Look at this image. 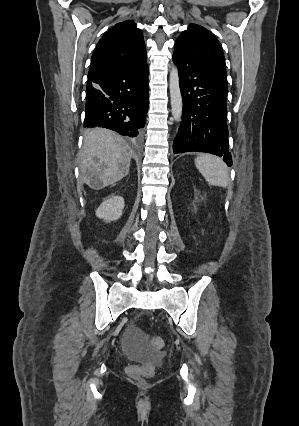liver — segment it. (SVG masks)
<instances>
[{
	"mask_svg": "<svg viewBox=\"0 0 299 426\" xmlns=\"http://www.w3.org/2000/svg\"><path fill=\"white\" fill-rule=\"evenodd\" d=\"M133 155L118 135L93 129L85 135L79 155L80 178L93 189L111 185L128 174Z\"/></svg>",
	"mask_w": 299,
	"mask_h": 426,
	"instance_id": "liver-1",
	"label": "liver"
}]
</instances>
